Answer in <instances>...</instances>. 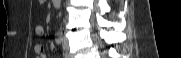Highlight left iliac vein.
I'll use <instances>...</instances> for the list:
<instances>
[{"mask_svg":"<svg viewBox=\"0 0 181 58\" xmlns=\"http://www.w3.org/2000/svg\"><path fill=\"white\" fill-rule=\"evenodd\" d=\"M63 50H64V57L71 58L69 48H68V42L66 39L63 40Z\"/></svg>","mask_w":181,"mask_h":58,"instance_id":"left-iliac-vein-1","label":"left iliac vein"}]
</instances>
